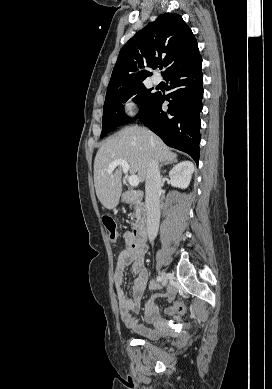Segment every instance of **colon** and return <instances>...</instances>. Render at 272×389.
Masks as SVG:
<instances>
[{
  "mask_svg": "<svg viewBox=\"0 0 272 389\" xmlns=\"http://www.w3.org/2000/svg\"><path fill=\"white\" fill-rule=\"evenodd\" d=\"M103 224L107 230L109 239L115 241L117 239L118 230L117 224L114 218L110 215H107L103 218ZM174 310L181 316L186 314V307L181 301H176L174 304Z\"/></svg>",
  "mask_w": 272,
  "mask_h": 389,
  "instance_id": "1",
  "label": "colon"
}]
</instances>
